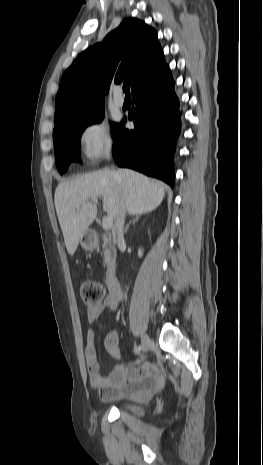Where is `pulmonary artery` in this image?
I'll use <instances>...</instances> for the list:
<instances>
[{
	"label": "pulmonary artery",
	"instance_id": "pulmonary-artery-1",
	"mask_svg": "<svg viewBox=\"0 0 263 465\" xmlns=\"http://www.w3.org/2000/svg\"><path fill=\"white\" fill-rule=\"evenodd\" d=\"M120 92L121 90L117 89L113 98V102L117 107H122L124 104V98L122 97Z\"/></svg>",
	"mask_w": 263,
	"mask_h": 465
}]
</instances>
